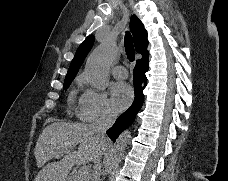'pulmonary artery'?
<instances>
[{"label":"pulmonary artery","instance_id":"pulmonary-artery-1","mask_svg":"<svg viewBox=\"0 0 228 181\" xmlns=\"http://www.w3.org/2000/svg\"><path fill=\"white\" fill-rule=\"evenodd\" d=\"M115 46H118L117 44ZM120 52V51H119ZM117 79H128L129 75L126 74V69L124 67L118 66L113 70Z\"/></svg>","mask_w":228,"mask_h":181}]
</instances>
